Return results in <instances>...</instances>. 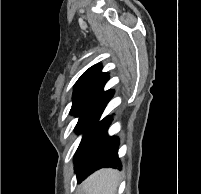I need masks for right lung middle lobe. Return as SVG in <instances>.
<instances>
[{
	"instance_id": "obj_1",
	"label": "right lung middle lobe",
	"mask_w": 201,
	"mask_h": 194,
	"mask_svg": "<svg viewBox=\"0 0 201 194\" xmlns=\"http://www.w3.org/2000/svg\"><path fill=\"white\" fill-rule=\"evenodd\" d=\"M89 103H76L72 105L71 114L78 116Z\"/></svg>"
}]
</instances>
